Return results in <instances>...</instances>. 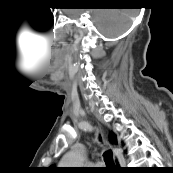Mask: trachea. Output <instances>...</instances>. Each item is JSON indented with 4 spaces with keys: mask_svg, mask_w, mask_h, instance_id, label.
I'll use <instances>...</instances> for the list:
<instances>
[{
    "mask_svg": "<svg viewBox=\"0 0 173 173\" xmlns=\"http://www.w3.org/2000/svg\"><path fill=\"white\" fill-rule=\"evenodd\" d=\"M104 161H105V164H106V170L107 169H111V168H115V164H114V161H113V153L112 151H106L104 153Z\"/></svg>",
    "mask_w": 173,
    "mask_h": 173,
    "instance_id": "trachea-1",
    "label": "trachea"
}]
</instances>
